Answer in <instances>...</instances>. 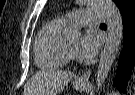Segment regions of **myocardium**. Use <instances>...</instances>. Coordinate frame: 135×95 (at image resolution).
Returning a JSON list of instances; mask_svg holds the SVG:
<instances>
[{"label": "myocardium", "instance_id": "f54148a6", "mask_svg": "<svg viewBox=\"0 0 135 95\" xmlns=\"http://www.w3.org/2000/svg\"><path fill=\"white\" fill-rule=\"evenodd\" d=\"M64 54L67 60H75L74 54L68 49L66 43L64 44Z\"/></svg>", "mask_w": 135, "mask_h": 95}]
</instances>
